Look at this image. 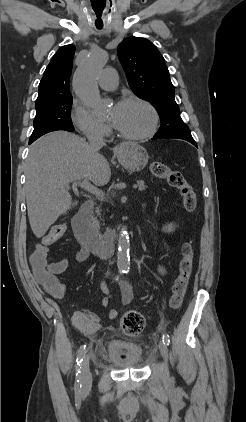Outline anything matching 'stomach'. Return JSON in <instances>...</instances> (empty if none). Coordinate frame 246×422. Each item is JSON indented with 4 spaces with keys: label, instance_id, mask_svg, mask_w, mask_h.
I'll use <instances>...</instances> for the list:
<instances>
[{
    "label": "stomach",
    "instance_id": "1",
    "mask_svg": "<svg viewBox=\"0 0 246 422\" xmlns=\"http://www.w3.org/2000/svg\"><path fill=\"white\" fill-rule=\"evenodd\" d=\"M117 157L125 168L134 172L144 169L149 159L146 149L132 142L122 143L117 150Z\"/></svg>",
    "mask_w": 246,
    "mask_h": 422
}]
</instances>
